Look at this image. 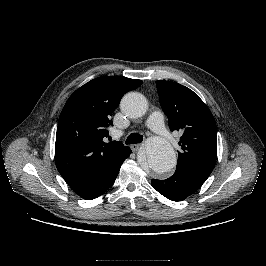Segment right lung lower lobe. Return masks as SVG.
<instances>
[{
  "label": "right lung lower lobe",
  "mask_w": 266,
  "mask_h": 266,
  "mask_svg": "<svg viewBox=\"0 0 266 266\" xmlns=\"http://www.w3.org/2000/svg\"><path fill=\"white\" fill-rule=\"evenodd\" d=\"M131 154L129 148L117 161L102 166L80 178L67 180L70 188L81 198L94 199L106 192L114 183L124 160Z\"/></svg>",
  "instance_id": "98d812e1"
}]
</instances>
